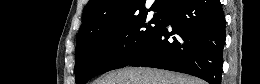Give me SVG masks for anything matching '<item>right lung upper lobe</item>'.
<instances>
[{
    "label": "right lung upper lobe",
    "instance_id": "cb5924a9",
    "mask_svg": "<svg viewBox=\"0 0 260 84\" xmlns=\"http://www.w3.org/2000/svg\"><path fill=\"white\" fill-rule=\"evenodd\" d=\"M178 1L156 0L151 9L165 12ZM145 2L146 0H89L83 12V22L77 35V41L90 33L92 27L97 23L119 21L128 16L146 11Z\"/></svg>",
    "mask_w": 260,
    "mask_h": 84
}]
</instances>
